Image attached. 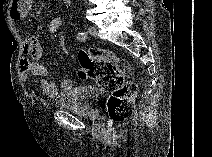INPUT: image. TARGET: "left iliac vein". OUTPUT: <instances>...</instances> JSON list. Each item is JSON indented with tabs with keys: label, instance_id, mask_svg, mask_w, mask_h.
<instances>
[{
	"label": "left iliac vein",
	"instance_id": "1",
	"mask_svg": "<svg viewBox=\"0 0 212 157\" xmlns=\"http://www.w3.org/2000/svg\"><path fill=\"white\" fill-rule=\"evenodd\" d=\"M88 32L92 35V36H97V29L95 26H90L88 28Z\"/></svg>",
	"mask_w": 212,
	"mask_h": 157
}]
</instances>
